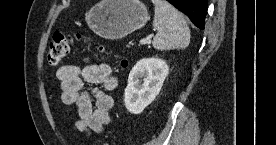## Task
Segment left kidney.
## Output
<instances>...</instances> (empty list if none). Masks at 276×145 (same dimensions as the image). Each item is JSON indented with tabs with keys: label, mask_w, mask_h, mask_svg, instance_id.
<instances>
[{
	"label": "left kidney",
	"mask_w": 276,
	"mask_h": 145,
	"mask_svg": "<svg viewBox=\"0 0 276 145\" xmlns=\"http://www.w3.org/2000/svg\"><path fill=\"white\" fill-rule=\"evenodd\" d=\"M168 72L169 67L162 59L144 58L138 61L129 73L124 93L127 110L140 114L159 94Z\"/></svg>",
	"instance_id": "left-kidney-1"
}]
</instances>
